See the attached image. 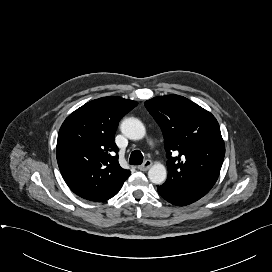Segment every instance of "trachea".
Here are the masks:
<instances>
[{"label":"trachea","mask_w":272,"mask_h":272,"mask_svg":"<svg viewBox=\"0 0 272 272\" xmlns=\"http://www.w3.org/2000/svg\"><path fill=\"white\" fill-rule=\"evenodd\" d=\"M143 162V154L139 150H134L129 158V164L141 165Z\"/></svg>","instance_id":"3493384b"}]
</instances>
